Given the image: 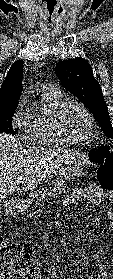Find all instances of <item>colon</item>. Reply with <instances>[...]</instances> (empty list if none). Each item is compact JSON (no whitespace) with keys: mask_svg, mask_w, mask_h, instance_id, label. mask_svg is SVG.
<instances>
[{"mask_svg":"<svg viewBox=\"0 0 113 279\" xmlns=\"http://www.w3.org/2000/svg\"><path fill=\"white\" fill-rule=\"evenodd\" d=\"M90 159L98 165L97 181L100 188L104 191H113V151L107 146L96 147L91 151ZM29 253V248L16 249L0 237V274L6 273L1 271L4 270V265L8 264L10 268L12 264H21ZM9 268L7 266V269Z\"/></svg>","mask_w":113,"mask_h":279,"instance_id":"1","label":"colon"}]
</instances>
